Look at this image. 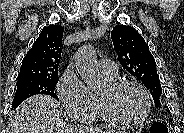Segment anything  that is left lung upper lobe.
Instances as JSON below:
<instances>
[{
  "label": "left lung upper lobe",
  "instance_id": "1",
  "mask_svg": "<svg viewBox=\"0 0 184 133\" xmlns=\"http://www.w3.org/2000/svg\"><path fill=\"white\" fill-rule=\"evenodd\" d=\"M111 39L120 64L150 90L156 107H160L162 88L156 62L143 37L131 26L117 25Z\"/></svg>",
  "mask_w": 184,
  "mask_h": 133
}]
</instances>
